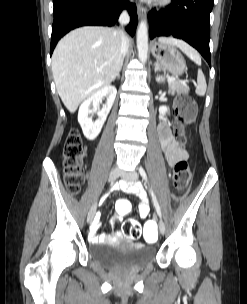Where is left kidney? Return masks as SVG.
Returning <instances> with one entry per match:
<instances>
[{
	"label": "left kidney",
	"mask_w": 247,
	"mask_h": 304,
	"mask_svg": "<svg viewBox=\"0 0 247 304\" xmlns=\"http://www.w3.org/2000/svg\"><path fill=\"white\" fill-rule=\"evenodd\" d=\"M156 81H157V82L163 81L162 76H157V77H156ZM166 112H167V107H166V106H161V107H159V113H160L162 116H163Z\"/></svg>",
	"instance_id": "obj_1"
}]
</instances>
